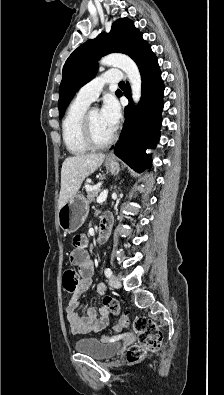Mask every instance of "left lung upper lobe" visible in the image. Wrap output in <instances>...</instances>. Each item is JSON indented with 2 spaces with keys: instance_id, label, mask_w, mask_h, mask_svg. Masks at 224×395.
Masks as SVG:
<instances>
[{
  "instance_id": "5c2ea615",
  "label": "left lung upper lobe",
  "mask_w": 224,
  "mask_h": 395,
  "mask_svg": "<svg viewBox=\"0 0 224 395\" xmlns=\"http://www.w3.org/2000/svg\"><path fill=\"white\" fill-rule=\"evenodd\" d=\"M148 45L142 34L134 27L133 21L122 18L115 21L110 33H101L95 39L88 40L75 49L63 67V77L59 89V118L75 93L94 78L97 60L109 53L120 52L133 60ZM119 92L117 91L116 94Z\"/></svg>"
}]
</instances>
